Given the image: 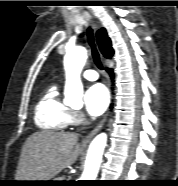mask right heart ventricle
<instances>
[{"instance_id": "right-heart-ventricle-1", "label": "right heart ventricle", "mask_w": 178, "mask_h": 186, "mask_svg": "<svg viewBox=\"0 0 178 186\" xmlns=\"http://www.w3.org/2000/svg\"><path fill=\"white\" fill-rule=\"evenodd\" d=\"M34 120L38 128L48 132L62 131L71 123V109L61 101L57 87H51L39 99Z\"/></svg>"}]
</instances>
